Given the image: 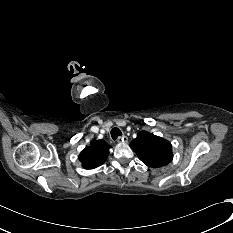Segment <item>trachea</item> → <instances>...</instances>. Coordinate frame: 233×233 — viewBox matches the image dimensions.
I'll return each mask as SVG.
<instances>
[{
    "label": "trachea",
    "mask_w": 233,
    "mask_h": 233,
    "mask_svg": "<svg viewBox=\"0 0 233 233\" xmlns=\"http://www.w3.org/2000/svg\"><path fill=\"white\" fill-rule=\"evenodd\" d=\"M121 135H122V132L117 127H114L111 130V137H112L113 140H116Z\"/></svg>",
    "instance_id": "1"
}]
</instances>
